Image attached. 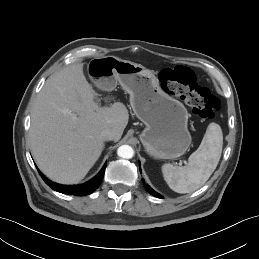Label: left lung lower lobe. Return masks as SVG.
<instances>
[{
	"label": "left lung lower lobe",
	"mask_w": 259,
	"mask_h": 259,
	"mask_svg": "<svg viewBox=\"0 0 259 259\" xmlns=\"http://www.w3.org/2000/svg\"><path fill=\"white\" fill-rule=\"evenodd\" d=\"M141 171V169H140ZM143 182H144V179H142ZM144 186L146 188V190L153 196L155 197H158V198H163L160 194H158L157 192H155L149 185H147L145 182H144Z\"/></svg>",
	"instance_id": "0a47b994"
}]
</instances>
